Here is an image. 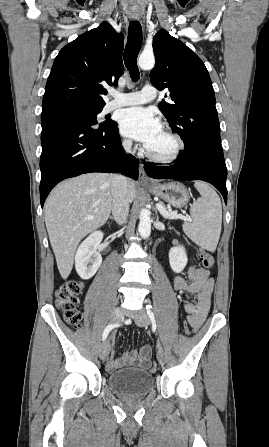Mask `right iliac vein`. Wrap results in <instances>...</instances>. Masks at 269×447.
Returning a JSON list of instances; mask_svg holds the SVG:
<instances>
[{"mask_svg": "<svg viewBox=\"0 0 269 447\" xmlns=\"http://www.w3.org/2000/svg\"><path fill=\"white\" fill-rule=\"evenodd\" d=\"M122 319H123L122 309L120 307L115 308L111 315V323L118 324L122 321ZM109 352H110V345H109V339H107L101 344L99 348L100 359L105 360L108 357Z\"/></svg>", "mask_w": 269, "mask_h": 447, "instance_id": "right-iliac-vein-1", "label": "right iliac vein"}]
</instances>
